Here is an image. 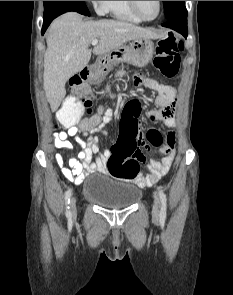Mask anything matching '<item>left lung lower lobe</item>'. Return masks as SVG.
<instances>
[{"label": "left lung lower lobe", "mask_w": 233, "mask_h": 295, "mask_svg": "<svg viewBox=\"0 0 233 295\" xmlns=\"http://www.w3.org/2000/svg\"><path fill=\"white\" fill-rule=\"evenodd\" d=\"M162 26L174 29L175 31L181 33L185 38H187V14L179 16L177 18L167 20Z\"/></svg>", "instance_id": "obj_1"}]
</instances>
